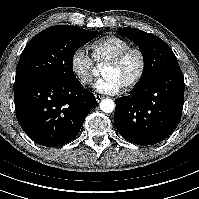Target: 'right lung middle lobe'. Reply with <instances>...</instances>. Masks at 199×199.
I'll use <instances>...</instances> for the list:
<instances>
[{"label": "right lung middle lobe", "mask_w": 199, "mask_h": 199, "mask_svg": "<svg viewBox=\"0 0 199 199\" xmlns=\"http://www.w3.org/2000/svg\"><path fill=\"white\" fill-rule=\"evenodd\" d=\"M98 35L71 25H57L34 36L22 52L15 82L45 78L61 81L76 79L73 55L85 43Z\"/></svg>", "instance_id": "1"}]
</instances>
